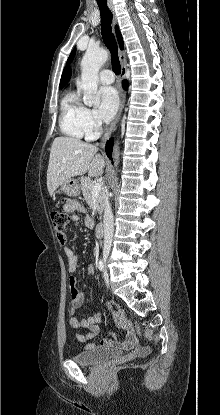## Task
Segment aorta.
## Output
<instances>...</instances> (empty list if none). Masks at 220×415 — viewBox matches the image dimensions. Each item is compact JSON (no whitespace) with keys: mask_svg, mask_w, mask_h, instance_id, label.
Segmentation results:
<instances>
[{"mask_svg":"<svg viewBox=\"0 0 220 415\" xmlns=\"http://www.w3.org/2000/svg\"><path fill=\"white\" fill-rule=\"evenodd\" d=\"M108 52L104 49H87L81 61V88L83 101L87 106L99 105L100 97L97 94L98 73L101 66L107 61ZM115 165L118 164L119 150L115 145L113 151Z\"/></svg>","mask_w":220,"mask_h":415,"instance_id":"aorta-1","label":"aorta"}]
</instances>
